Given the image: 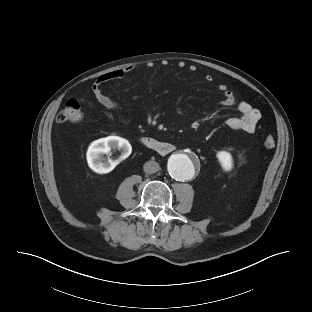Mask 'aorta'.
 Here are the masks:
<instances>
[{"label":"aorta","mask_w":312,"mask_h":312,"mask_svg":"<svg viewBox=\"0 0 312 312\" xmlns=\"http://www.w3.org/2000/svg\"><path fill=\"white\" fill-rule=\"evenodd\" d=\"M167 169L172 178L187 181L197 172L198 159L193 155L176 154L168 160Z\"/></svg>","instance_id":"aorta-1"}]
</instances>
